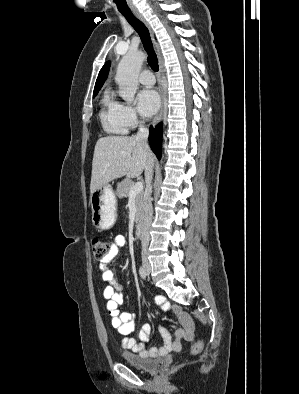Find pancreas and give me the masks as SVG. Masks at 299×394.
Listing matches in <instances>:
<instances>
[{
	"instance_id": "obj_1",
	"label": "pancreas",
	"mask_w": 299,
	"mask_h": 394,
	"mask_svg": "<svg viewBox=\"0 0 299 394\" xmlns=\"http://www.w3.org/2000/svg\"><path fill=\"white\" fill-rule=\"evenodd\" d=\"M134 185H135V183L130 179H124L123 181H121L117 187L118 197H120V198L130 197V190ZM135 203H136L135 222H138L140 219V216L142 214V210H143V204H144V193L143 192H140L139 194L136 195Z\"/></svg>"
}]
</instances>
